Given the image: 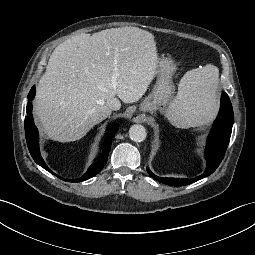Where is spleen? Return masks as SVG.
Returning a JSON list of instances; mask_svg holds the SVG:
<instances>
[{
    "label": "spleen",
    "instance_id": "spleen-1",
    "mask_svg": "<svg viewBox=\"0 0 255 255\" xmlns=\"http://www.w3.org/2000/svg\"><path fill=\"white\" fill-rule=\"evenodd\" d=\"M218 77V68L211 64L187 71L166 111L169 122L178 128L209 123L217 110Z\"/></svg>",
    "mask_w": 255,
    "mask_h": 255
}]
</instances>
